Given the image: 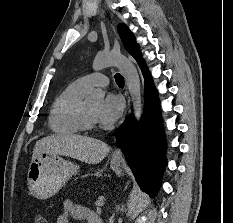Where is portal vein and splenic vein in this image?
Listing matches in <instances>:
<instances>
[{"instance_id":"1","label":"portal vein and splenic vein","mask_w":233,"mask_h":223,"mask_svg":"<svg viewBox=\"0 0 233 223\" xmlns=\"http://www.w3.org/2000/svg\"><path fill=\"white\" fill-rule=\"evenodd\" d=\"M96 204H97V206H103L104 203H103V201H97Z\"/></svg>"}]
</instances>
